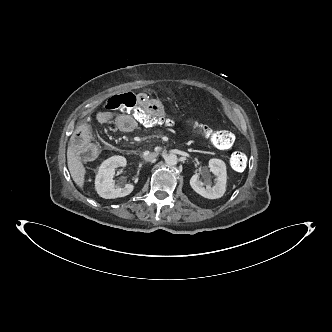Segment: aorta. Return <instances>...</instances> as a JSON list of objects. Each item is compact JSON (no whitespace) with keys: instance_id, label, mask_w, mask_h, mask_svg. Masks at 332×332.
Masks as SVG:
<instances>
[{"instance_id":"obj_1","label":"aorta","mask_w":332,"mask_h":332,"mask_svg":"<svg viewBox=\"0 0 332 332\" xmlns=\"http://www.w3.org/2000/svg\"><path fill=\"white\" fill-rule=\"evenodd\" d=\"M165 162L168 166H175L178 163V158L175 154H169L165 157Z\"/></svg>"}]
</instances>
